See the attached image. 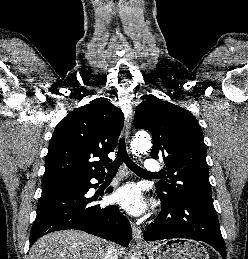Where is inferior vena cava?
<instances>
[{"label":"inferior vena cava","mask_w":248,"mask_h":259,"mask_svg":"<svg viewBox=\"0 0 248 259\" xmlns=\"http://www.w3.org/2000/svg\"><path fill=\"white\" fill-rule=\"evenodd\" d=\"M103 259H118V253L114 246H109Z\"/></svg>","instance_id":"602c4592"}]
</instances>
